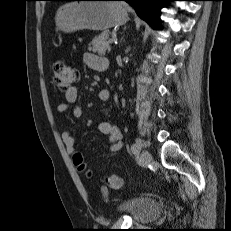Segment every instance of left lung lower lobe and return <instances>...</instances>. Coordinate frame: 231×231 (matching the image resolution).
Masks as SVG:
<instances>
[{
    "instance_id": "0a47b994",
    "label": "left lung lower lobe",
    "mask_w": 231,
    "mask_h": 231,
    "mask_svg": "<svg viewBox=\"0 0 231 231\" xmlns=\"http://www.w3.org/2000/svg\"><path fill=\"white\" fill-rule=\"evenodd\" d=\"M59 1H71V0H59ZM126 1L132 7H134L136 13L146 22H148L153 28H160V9L167 1L175 0H120Z\"/></svg>"
}]
</instances>
